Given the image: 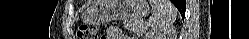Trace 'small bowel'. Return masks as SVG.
<instances>
[{
    "label": "small bowel",
    "instance_id": "1",
    "mask_svg": "<svg viewBox=\"0 0 249 39\" xmlns=\"http://www.w3.org/2000/svg\"><path fill=\"white\" fill-rule=\"evenodd\" d=\"M122 31L118 27H109L107 33L102 39H121Z\"/></svg>",
    "mask_w": 249,
    "mask_h": 39
}]
</instances>
